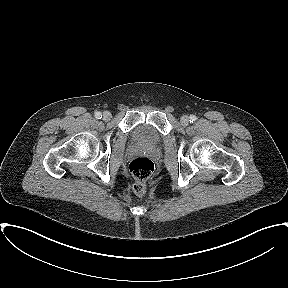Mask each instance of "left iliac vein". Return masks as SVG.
Segmentation results:
<instances>
[{
	"instance_id": "left-iliac-vein-1",
	"label": "left iliac vein",
	"mask_w": 288,
	"mask_h": 288,
	"mask_svg": "<svg viewBox=\"0 0 288 288\" xmlns=\"http://www.w3.org/2000/svg\"><path fill=\"white\" fill-rule=\"evenodd\" d=\"M180 122L183 126H187L189 124L188 116H186V115L182 116Z\"/></svg>"
}]
</instances>
